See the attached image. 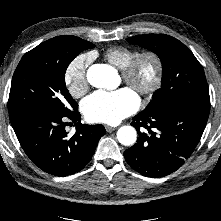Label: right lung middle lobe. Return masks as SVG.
<instances>
[{
  "mask_svg": "<svg viewBox=\"0 0 221 221\" xmlns=\"http://www.w3.org/2000/svg\"><path fill=\"white\" fill-rule=\"evenodd\" d=\"M94 45L75 36H58L39 44L22 57L11 83L10 119L28 112L68 114L77 102L65 84L70 62Z\"/></svg>",
  "mask_w": 221,
  "mask_h": 221,
  "instance_id": "dd1d6c3e",
  "label": "right lung middle lobe"
}]
</instances>
